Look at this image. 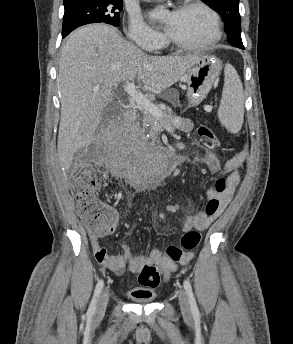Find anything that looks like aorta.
I'll return each mask as SVG.
<instances>
[{"mask_svg": "<svg viewBox=\"0 0 293 344\" xmlns=\"http://www.w3.org/2000/svg\"><path fill=\"white\" fill-rule=\"evenodd\" d=\"M165 11L163 9L155 10L150 13V17L161 19ZM151 167L158 173H165L169 169V159L164 153H154L150 158Z\"/></svg>", "mask_w": 293, "mask_h": 344, "instance_id": "obj_1", "label": "aorta"}]
</instances>
